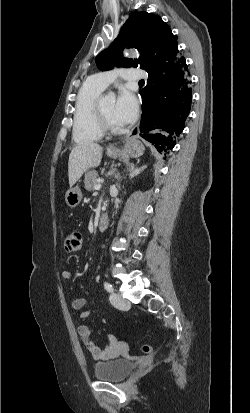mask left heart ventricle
Here are the masks:
<instances>
[{
    "label": "left heart ventricle",
    "instance_id": "1",
    "mask_svg": "<svg viewBox=\"0 0 250 413\" xmlns=\"http://www.w3.org/2000/svg\"><path fill=\"white\" fill-rule=\"evenodd\" d=\"M101 106L104 113L107 117L115 124H118L115 120L114 110H115V101L113 99H103L101 101Z\"/></svg>",
    "mask_w": 250,
    "mask_h": 413
}]
</instances>
